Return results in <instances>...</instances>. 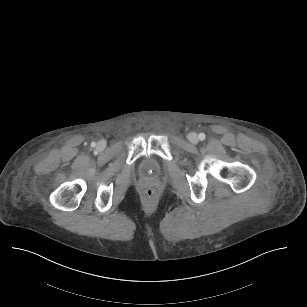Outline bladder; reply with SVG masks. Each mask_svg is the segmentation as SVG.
<instances>
[{"label": "bladder", "mask_w": 307, "mask_h": 307, "mask_svg": "<svg viewBox=\"0 0 307 307\" xmlns=\"http://www.w3.org/2000/svg\"><path fill=\"white\" fill-rule=\"evenodd\" d=\"M146 164L153 170H158L160 168V164L155 160H149Z\"/></svg>", "instance_id": "obj_1"}]
</instances>
